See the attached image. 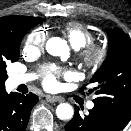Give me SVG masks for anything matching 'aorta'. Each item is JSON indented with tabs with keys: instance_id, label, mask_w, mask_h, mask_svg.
I'll return each mask as SVG.
<instances>
[{
	"instance_id": "1",
	"label": "aorta",
	"mask_w": 131,
	"mask_h": 131,
	"mask_svg": "<svg viewBox=\"0 0 131 131\" xmlns=\"http://www.w3.org/2000/svg\"><path fill=\"white\" fill-rule=\"evenodd\" d=\"M46 50L53 56H64L68 53L66 42L59 37H52L46 43ZM56 115L61 120H69L74 115L73 107L67 103H61L56 108Z\"/></svg>"
}]
</instances>
